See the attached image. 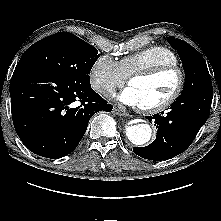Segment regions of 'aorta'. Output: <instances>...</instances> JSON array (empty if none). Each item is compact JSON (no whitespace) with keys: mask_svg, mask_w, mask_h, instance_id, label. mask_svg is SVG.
<instances>
[{"mask_svg":"<svg viewBox=\"0 0 221 221\" xmlns=\"http://www.w3.org/2000/svg\"><path fill=\"white\" fill-rule=\"evenodd\" d=\"M125 133L130 142L135 145L148 143L152 136V129L149 124H135L126 126Z\"/></svg>","mask_w":221,"mask_h":221,"instance_id":"aorta-1","label":"aorta"}]
</instances>
